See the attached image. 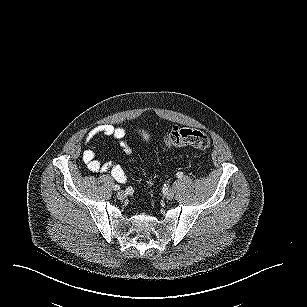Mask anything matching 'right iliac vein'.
I'll use <instances>...</instances> for the list:
<instances>
[{
  "label": "right iliac vein",
  "instance_id": "right-iliac-vein-1",
  "mask_svg": "<svg viewBox=\"0 0 307 307\" xmlns=\"http://www.w3.org/2000/svg\"><path fill=\"white\" fill-rule=\"evenodd\" d=\"M126 197V194L123 191H118L117 192V198L119 200H123Z\"/></svg>",
  "mask_w": 307,
  "mask_h": 307
}]
</instances>
